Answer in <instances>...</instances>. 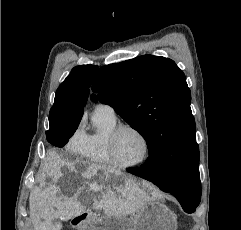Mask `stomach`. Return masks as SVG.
I'll list each match as a JSON object with an SVG mask.
<instances>
[{"label":"stomach","mask_w":241,"mask_h":230,"mask_svg":"<svg viewBox=\"0 0 241 230\" xmlns=\"http://www.w3.org/2000/svg\"><path fill=\"white\" fill-rule=\"evenodd\" d=\"M125 179L124 175H112L111 182L117 184ZM175 214L164 204L149 201L134 213L133 220L118 217H105L84 222L79 230H176Z\"/></svg>","instance_id":"1"}]
</instances>
